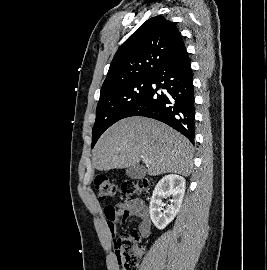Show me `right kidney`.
Here are the masks:
<instances>
[{
    "label": "right kidney",
    "instance_id": "ca27d5eb",
    "mask_svg": "<svg viewBox=\"0 0 267 270\" xmlns=\"http://www.w3.org/2000/svg\"><path fill=\"white\" fill-rule=\"evenodd\" d=\"M185 188V179L176 174L164 176L155 186L150 201L149 213L153 224L159 230L164 229L176 217L183 201ZM170 196L172 197L171 204L163 211L162 207L165 204L162 199Z\"/></svg>",
    "mask_w": 267,
    "mask_h": 270
}]
</instances>
